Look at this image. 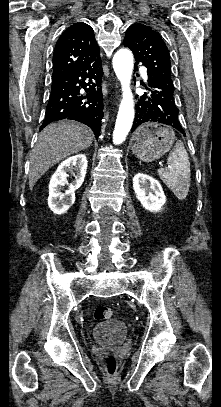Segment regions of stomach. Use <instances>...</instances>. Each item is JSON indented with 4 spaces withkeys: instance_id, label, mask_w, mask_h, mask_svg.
Masks as SVG:
<instances>
[{
    "instance_id": "0dacf381",
    "label": "stomach",
    "mask_w": 221,
    "mask_h": 407,
    "mask_svg": "<svg viewBox=\"0 0 221 407\" xmlns=\"http://www.w3.org/2000/svg\"><path fill=\"white\" fill-rule=\"evenodd\" d=\"M174 140L175 133L171 128L145 123L135 133L132 152L141 161L152 162L167 153Z\"/></svg>"
}]
</instances>
